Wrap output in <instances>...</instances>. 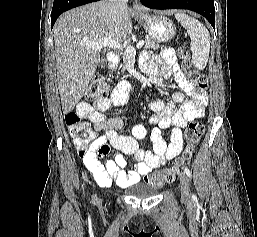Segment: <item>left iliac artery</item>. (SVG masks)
I'll return each instance as SVG.
<instances>
[{"mask_svg":"<svg viewBox=\"0 0 257 237\" xmlns=\"http://www.w3.org/2000/svg\"><path fill=\"white\" fill-rule=\"evenodd\" d=\"M184 172L186 173V175L189 177V178H191V172H190V170H189V168L188 167H184ZM194 197V196H193Z\"/></svg>","mask_w":257,"mask_h":237,"instance_id":"left-iliac-artery-1","label":"left iliac artery"}]
</instances>
